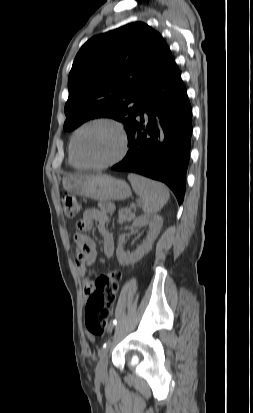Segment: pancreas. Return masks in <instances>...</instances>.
Segmentation results:
<instances>
[{"mask_svg":"<svg viewBox=\"0 0 253 413\" xmlns=\"http://www.w3.org/2000/svg\"><path fill=\"white\" fill-rule=\"evenodd\" d=\"M131 215V210L128 208H123L118 213V223L122 224Z\"/></svg>","mask_w":253,"mask_h":413,"instance_id":"cf45deb5","label":"pancreas"}]
</instances>
